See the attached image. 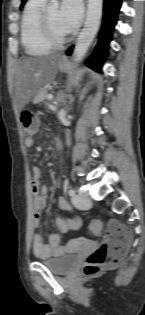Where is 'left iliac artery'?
Masks as SVG:
<instances>
[{
	"instance_id": "left-iliac-artery-1",
	"label": "left iliac artery",
	"mask_w": 145,
	"mask_h": 315,
	"mask_svg": "<svg viewBox=\"0 0 145 315\" xmlns=\"http://www.w3.org/2000/svg\"><path fill=\"white\" fill-rule=\"evenodd\" d=\"M69 196H74L75 195V190L74 189H69L68 190Z\"/></svg>"
}]
</instances>
